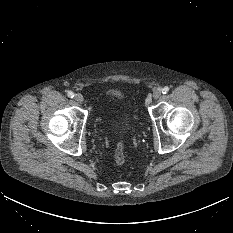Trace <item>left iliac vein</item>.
I'll use <instances>...</instances> for the list:
<instances>
[{
	"label": "left iliac vein",
	"instance_id": "obj_1",
	"mask_svg": "<svg viewBox=\"0 0 233 233\" xmlns=\"http://www.w3.org/2000/svg\"><path fill=\"white\" fill-rule=\"evenodd\" d=\"M160 96H161V90L160 89H157V90H155L153 92V98L154 99H158V98H160Z\"/></svg>",
	"mask_w": 233,
	"mask_h": 233
}]
</instances>
